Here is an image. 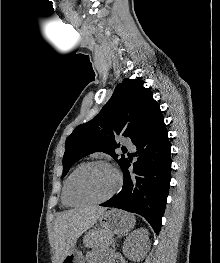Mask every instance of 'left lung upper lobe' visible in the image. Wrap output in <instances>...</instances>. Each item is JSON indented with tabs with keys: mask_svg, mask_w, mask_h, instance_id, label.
<instances>
[{
	"mask_svg": "<svg viewBox=\"0 0 220 263\" xmlns=\"http://www.w3.org/2000/svg\"><path fill=\"white\" fill-rule=\"evenodd\" d=\"M162 117L151 90L138 79H124L101 112L89 122L77 126L67 138L62 176L76 161L96 151L111 155L122 168L126 158L114 151L120 146L116 137L123 135L134 142Z\"/></svg>",
	"mask_w": 220,
	"mask_h": 263,
	"instance_id": "obj_1",
	"label": "left lung upper lobe"
}]
</instances>
